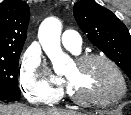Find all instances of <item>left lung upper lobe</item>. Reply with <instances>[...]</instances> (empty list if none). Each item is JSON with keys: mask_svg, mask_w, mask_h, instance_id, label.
<instances>
[{"mask_svg": "<svg viewBox=\"0 0 131 115\" xmlns=\"http://www.w3.org/2000/svg\"><path fill=\"white\" fill-rule=\"evenodd\" d=\"M74 17L88 39L113 60L131 80V36L110 10L94 0L75 3Z\"/></svg>", "mask_w": 131, "mask_h": 115, "instance_id": "obj_1", "label": "left lung upper lobe"}]
</instances>
